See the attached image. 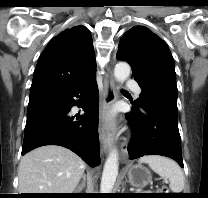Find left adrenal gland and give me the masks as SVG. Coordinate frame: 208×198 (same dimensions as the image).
I'll use <instances>...</instances> for the list:
<instances>
[{
  "label": "left adrenal gland",
  "mask_w": 208,
  "mask_h": 198,
  "mask_svg": "<svg viewBox=\"0 0 208 198\" xmlns=\"http://www.w3.org/2000/svg\"><path fill=\"white\" fill-rule=\"evenodd\" d=\"M122 187H124V183H122ZM123 190H124V188H123Z\"/></svg>",
  "instance_id": "obj_1"
}]
</instances>
